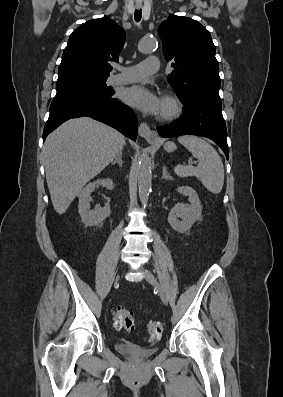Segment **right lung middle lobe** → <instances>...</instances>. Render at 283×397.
I'll return each mask as SVG.
<instances>
[{
	"mask_svg": "<svg viewBox=\"0 0 283 397\" xmlns=\"http://www.w3.org/2000/svg\"><path fill=\"white\" fill-rule=\"evenodd\" d=\"M107 77H72L56 82V94H61L74 90L92 91L100 94H113L109 87L106 86Z\"/></svg>",
	"mask_w": 283,
	"mask_h": 397,
	"instance_id": "obj_1",
	"label": "right lung middle lobe"
}]
</instances>
